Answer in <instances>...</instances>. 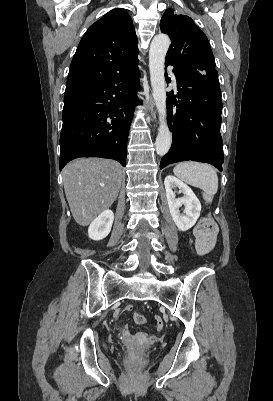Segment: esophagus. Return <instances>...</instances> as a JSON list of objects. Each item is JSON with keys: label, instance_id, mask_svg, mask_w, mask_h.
Listing matches in <instances>:
<instances>
[{"label": "esophagus", "instance_id": "obj_1", "mask_svg": "<svg viewBox=\"0 0 273 401\" xmlns=\"http://www.w3.org/2000/svg\"><path fill=\"white\" fill-rule=\"evenodd\" d=\"M147 107H148V110H149V112H150V114H151L152 120H155V118H156V112H155V110H154V101H153L151 95L149 96V101H148V103H147Z\"/></svg>", "mask_w": 273, "mask_h": 401}]
</instances>
